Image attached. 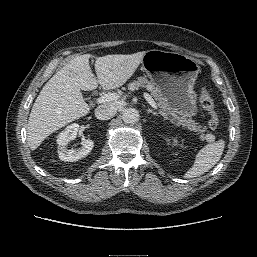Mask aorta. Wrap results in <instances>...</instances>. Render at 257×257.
Instances as JSON below:
<instances>
[{
  "label": "aorta",
  "mask_w": 257,
  "mask_h": 257,
  "mask_svg": "<svg viewBox=\"0 0 257 257\" xmlns=\"http://www.w3.org/2000/svg\"><path fill=\"white\" fill-rule=\"evenodd\" d=\"M122 119L127 124H135L139 121L140 115L135 108H126L122 113Z\"/></svg>",
  "instance_id": "obj_1"
}]
</instances>
